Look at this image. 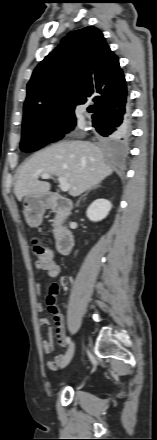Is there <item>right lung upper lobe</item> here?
Segmentation results:
<instances>
[{"label": "right lung upper lobe", "mask_w": 157, "mask_h": 440, "mask_svg": "<svg viewBox=\"0 0 157 440\" xmlns=\"http://www.w3.org/2000/svg\"><path fill=\"white\" fill-rule=\"evenodd\" d=\"M126 95L118 57L100 30L84 27L64 37L34 70L27 85L23 126L32 122H76L77 105L92 102L99 111Z\"/></svg>", "instance_id": "1"}]
</instances>
